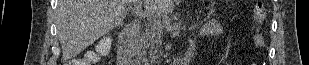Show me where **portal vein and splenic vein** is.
<instances>
[{
    "label": "portal vein and splenic vein",
    "instance_id": "18ae733b",
    "mask_svg": "<svg viewBox=\"0 0 309 65\" xmlns=\"http://www.w3.org/2000/svg\"><path fill=\"white\" fill-rule=\"evenodd\" d=\"M133 12L138 15L139 17H142L144 19H147L149 21L150 24H152L154 27H156L157 29H163L164 25L162 24V22L157 19L154 16V13H145L142 11L141 9V2L137 3L136 5H134L133 8Z\"/></svg>",
    "mask_w": 309,
    "mask_h": 65
}]
</instances>
